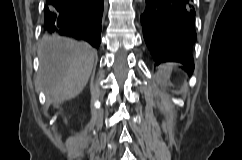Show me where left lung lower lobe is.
<instances>
[{"mask_svg":"<svg viewBox=\"0 0 242 160\" xmlns=\"http://www.w3.org/2000/svg\"><path fill=\"white\" fill-rule=\"evenodd\" d=\"M193 0H146L141 16L143 36L155 65L179 62L192 73L196 41Z\"/></svg>","mask_w":242,"mask_h":160,"instance_id":"obj_1","label":"left lung lower lobe"}]
</instances>
